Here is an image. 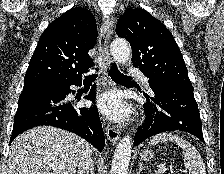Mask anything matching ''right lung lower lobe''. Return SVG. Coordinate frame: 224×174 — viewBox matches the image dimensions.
Instances as JSON below:
<instances>
[{"instance_id": "98d812e1", "label": "right lung lower lobe", "mask_w": 224, "mask_h": 174, "mask_svg": "<svg viewBox=\"0 0 224 174\" xmlns=\"http://www.w3.org/2000/svg\"><path fill=\"white\" fill-rule=\"evenodd\" d=\"M81 80L79 77L24 87L14 117L10 144L20 133L30 128L50 125L73 132L102 150L105 138L96 106L78 109L66 99L73 92L70 86H80ZM86 98L95 101L94 88Z\"/></svg>"}]
</instances>
